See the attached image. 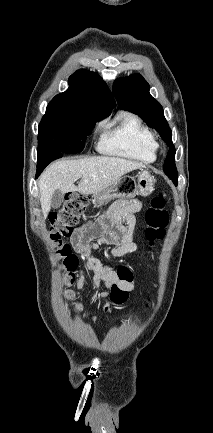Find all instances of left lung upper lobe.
Instances as JSON below:
<instances>
[{
  "label": "left lung upper lobe",
  "instance_id": "left-lung-upper-lobe-1",
  "mask_svg": "<svg viewBox=\"0 0 213 433\" xmlns=\"http://www.w3.org/2000/svg\"><path fill=\"white\" fill-rule=\"evenodd\" d=\"M150 86L140 75L134 74L115 80L113 93L120 108L140 116L148 126L157 130L170 147L164 162L165 174L177 185V169L174 162L175 147L172 143V131L164 117L163 108L149 93Z\"/></svg>",
  "mask_w": 213,
  "mask_h": 433
}]
</instances>
